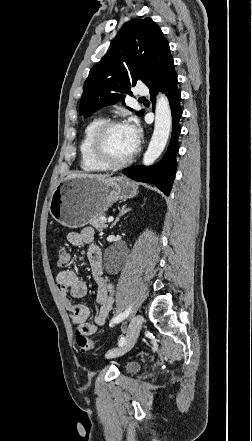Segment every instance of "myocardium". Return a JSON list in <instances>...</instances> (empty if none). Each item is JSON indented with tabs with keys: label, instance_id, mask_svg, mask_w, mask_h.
<instances>
[{
	"label": "myocardium",
	"instance_id": "obj_1",
	"mask_svg": "<svg viewBox=\"0 0 252 441\" xmlns=\"http://www.w3.org/2000/svg\"><path fill=\"white\" fill-rule=\"evenodd\" d=\"M125 125L122 120L119 119H108L104 120L95 130L92 135L91 143H90V151L93 158L103 165L107 169H121L127 166L135 157L137 153V148H134L132 153L127 156L125 159L114 162L111 161L105 153L103 140L106 133L115 126Z\"/></svg>",
	"mask_w": 252,
	"mask_h": 441
}]
</instances>
